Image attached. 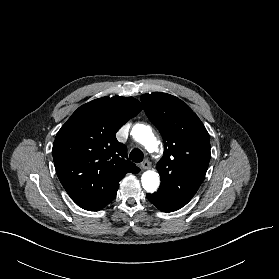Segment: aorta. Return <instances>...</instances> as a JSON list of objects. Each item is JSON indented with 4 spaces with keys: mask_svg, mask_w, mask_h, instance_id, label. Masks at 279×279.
<instances>
[{
    "mask_svg": "<svg viewBox=\"0 0 279 279\" xmlns=\"http://www.w3.org/2000/svg\"><path fill=\"white\" fill-rule=\"evenodd\" d=\"M131 134L133 138L144 145L147 150H152L155 147V137L149 126L136 124L132 128ZM141 182L145 191L153 193L160 185L159 174L152 170L146 171L142 174Z\"/></svg>",
    "mask_w": 279,
    "mask_h": 279,
    "instance_id": "762f6f07",
    "label": "aorta"
}]
</instances>
